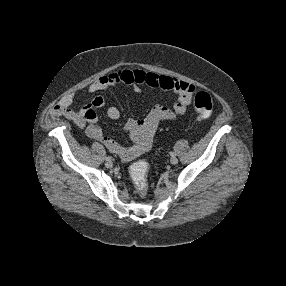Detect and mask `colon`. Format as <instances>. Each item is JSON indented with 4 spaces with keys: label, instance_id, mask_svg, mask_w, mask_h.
Segmentation results:
<instances>
[{
    "label": "colon",
    "instance_id": "colon-1",
    "mask_svg": "<svg viewBox=\"0 0 286 286\" xmlns=\"http://www.w3.org/2000/svg\"><path fill=\"white\" fill-rule=\"evenodd\" d=\"M194 105L200 119H206L211 115L213 104L211 97L208 93L199 92L195 97ZM146 171L147 163L143 160L134 163L131 167L130 174L140 195H145L148 190Z\"/></svg>",
    "mask_w": 286,
    "mask_h": 286
}]
</instances>
